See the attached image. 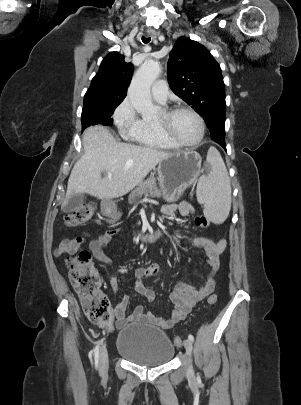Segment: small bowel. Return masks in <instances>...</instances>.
<instances>
[{
	"label": "small bowel",
	"mask_w": 301,
	"mask_h": 405,
	"mask_svg": "<svg viewBox=\"0 0 301 405\" xmlns=\"http://www.w3.org/2000/svg\"><path fill=\"white\" fill-rule=\"evenodd\" d=\"M194 211L195 209L191 203L181 201L180 203L166 206L163 213L168 217L174 216L175 213H179V215L184 217L194 213ZM118 232V228L111 229L90 241V251L100 263L105 265L110 263V258L105 253L104 249L111 242L113 235ZM190 244L202 249L205 253L210 272L204 282L200 286H192L179 282L173 287L170 293L173 311L171 317L168 319L156 316L151 312H146L142 305L136 306L132 313L127 315L129 296L124 295L115 306L116 326L118 328H122L129 323L146 322L157 325L164 330H170L177 323L184 320L192 308L214 290L216 283L215 276L220 268V255L226 248V240L220 239L214 241L206 237H194L190 240ZM77 245L76 239H65L59 244L55 250V254L60 256L64 253H71ZM158 271L159 267L156 264L147 267H138L135 270L134 290L145 296L150 302L155 299V292L152 288L146 286L144 279L154 277L157 275ZM109 280L112 291L117 293L118 282L116 277L110 276Z\"/></svg>",
	"instance_id": "small-bowel-1"
}]
</instances>
